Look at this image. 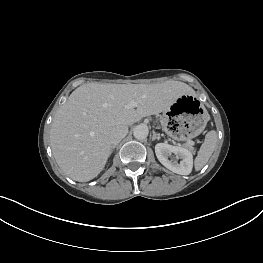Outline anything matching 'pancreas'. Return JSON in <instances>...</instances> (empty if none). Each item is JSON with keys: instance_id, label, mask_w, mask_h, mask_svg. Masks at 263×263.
<instances>
[{"instance_id": "pancreas-1", "label": "pancreas", "mask_w": 263, "mask_h": 263, "mask_svg": "<svg viewBox=\"0 0 263 263\" xmlns=\"http://www.w3.org/2000/svg\"><path fill=\"white\" fill-rule=\"evenodd\" d=\"M186 148H188L189 150H191L192 152H195V148L192 145L186 144L184 145Z\"/></svg>"}]
</instances>
